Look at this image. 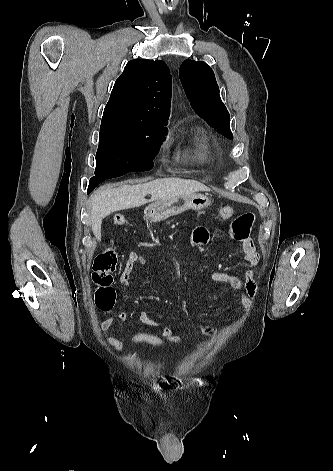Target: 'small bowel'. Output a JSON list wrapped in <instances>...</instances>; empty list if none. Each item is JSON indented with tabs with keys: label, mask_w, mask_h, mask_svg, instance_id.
Masks as SVG:
<instances>
[{
	"label": "small bowel",
	"mask_w": 333,
	"mask_h": 471,
	"mask_svg": "<svg viewBox=\"0 0 333 471\" xmlns=\"http://www.w3.org/2000/svg\"><path fill=\"white\" fill-rule=\"evenodd\" d=\"M254 221V216L251 213H244L236 217L230 225V233L232 237L241 242L243 260L247 267L244 278L236 275L229 274L223 271H215L208 275V278L216 283L229 285L233 290L238 292L237 301L244 308L249 311L253 304V299L257 294L258 287L254 279L253 268L259 262V254L256 250L254 242L250 237L251 227ZM209 241V231L203 226L194 229L192 234V243L196 246L205 245ZM146 263L144 257L132 251L129 253L124 269L122 270L119 280L124 286L129 285L130 276L136 266H142ZM117 318L120 321H125L128 318L126 311H121ZM115 321V317H108L101 323V331L104 334L105 341L115 350L121 351L123 349V342L112 335L107 334ZM140 322L149 327H159V323L149 317L146 312L141 313ZM199 331L206 337H211L216 333V328L211 325H202ZM161 335L170 343H181L185 340L183 336L175 333L172 327H165Z\"/></svg>",
	"instance_id": "obj_1"
}]
</instances>
